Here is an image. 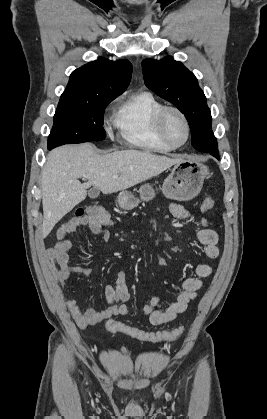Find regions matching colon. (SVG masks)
Instances as JSON below:
<instances>
[{
	"label": "colon",
	"instance_id": "obj_1",
	"mask_svg": "<svg viewBox=\"0 0 267 419\" xmlns=\"http://www.w3.org/2000/svg\"><path fill=\"white\" fill-rule=\"evenodd\" d=\"M215 202L212 198L208 197L204 199L202 209L205 211L210 210L214 206ZM77 216H91L97 219L103 226H110L112 224V218L106 209L100 206H90L85 209H80L77 212ZM106 328L113 333H121L130 337L148 341V342H171L177 340L184 331V327H178L168 332L158 333H147L136 327H132L123 324L116 320H109L106 323Z\"/></svg>",
	"mask_w": 267,
	"mask_h": 419
}]
</instances>
